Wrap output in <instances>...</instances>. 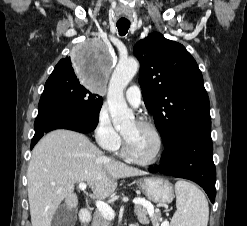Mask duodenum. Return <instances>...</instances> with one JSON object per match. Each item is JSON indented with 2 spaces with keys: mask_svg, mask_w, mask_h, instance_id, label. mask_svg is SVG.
<instances>
[{
  "mask_svg": "<svg viewBox=\"0 0 247 226\" xmlns=\"http://www.w3.org/2000/svg\"><path fill=\"white\" fill-rule=\"evenodd\" d=\"M91 218V213L88 209L83 208L80 210V220L82 223H88Z\"/></svg>",
  "mask_w": 247,
  "mask_h": 226,
  "instance_id": "duodenum-1",
  "label": "duodenum"
}]
</instances>
